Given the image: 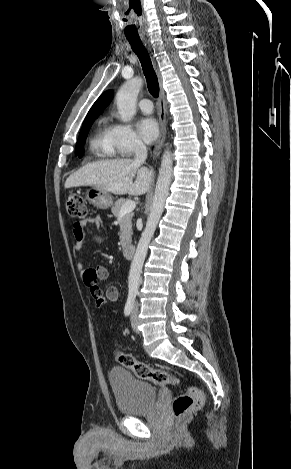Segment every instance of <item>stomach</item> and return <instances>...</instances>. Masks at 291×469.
Instances as JSON below:
<instances>
[{
	"label": "stomach",
	"instance_id": "1",
	"mask_svg": "<svg viewBox=\"0 0 291 469\" xmlns=\"http://www.w3.org/2000/svg\"><path fill=\"white\" fill-rule=\"evenodd\" d=\"M86 199L99 209H108L113 204L112 195L103 189L91 187L86 191Z\"/></svg>",
	"mask_w": 291,
	"mask_h": 469
}]
</instances>
